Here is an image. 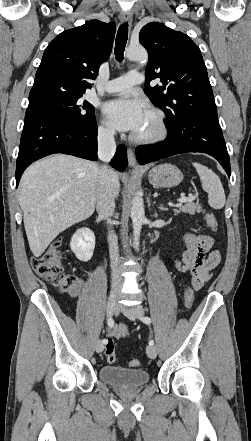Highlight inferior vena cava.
<instances>
[{"label":"inferior vena cava","mask_w":251,"mask_h":441,"mask_svg":"<svg viewBox=\"0 0 251 441\" xmlns=\"http://www.w3.org/2000/svg\"><path fill=\"white\" fill-rule=\"evenodd\" d=\"M113 129H102L98 132V157L105 164L99 168L96 192V211L102 219H109L115 208V174L108 168V162L116 151ZM109 255L111 262L112 293L117 292L122 284L119 266L118 239L113 231L108 234Z\"/></svg>","instance_id":"1"}]
</instances>
